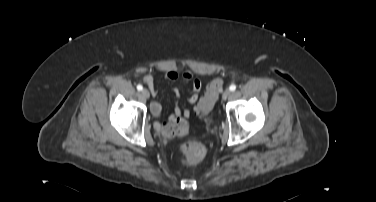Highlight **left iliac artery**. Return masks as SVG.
Instances as JSON below:
<instances>
[{
  "label": "left iliac artery",
  "mask_w": 376,
  "mask_h": 202,
  "mask_svg": "<svg viewBox=\"0 0 376 202\" xmlns=\"http://www.w3.org/2000/svg\"><path fill=\"white\" fill-rule=\"evenodd\" d=\"M230 91H235L236 90V85L235 84H232L230 87H229Z\"/></svg>",
  "instance_id": "obj_1"
}]
</instances>
